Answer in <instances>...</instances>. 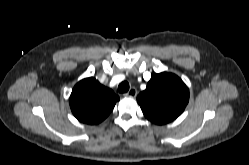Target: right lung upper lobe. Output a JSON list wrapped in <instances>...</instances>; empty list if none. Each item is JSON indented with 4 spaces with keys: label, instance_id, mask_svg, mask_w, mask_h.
I'll use <instances>...</instances> for the list:
<instances>
[{
    "label": "right lung upper lobe",
    "instance_id": "1",
    "mask_svg": "<svg viewBox=\"0 0 249 165\" xmlns=\"http://www.w3.org/2000/svg\"><path fill=\"white\" fill-rule=\"evenodd\" d=\"M117 101L119 97L110 88L90 77L74 86L70 96V108L79 121L93 125L102 122Z\"/></svg>",
    "mask_w": 249,
    "mask_h": 165
}]
</instances>
